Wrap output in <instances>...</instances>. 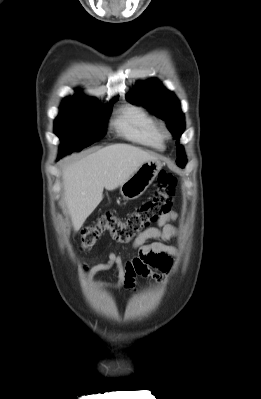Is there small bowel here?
<instances>
[{"instance_id": "obj_1", "label": "small bowel", "mask_w": 261, "mask_h": 399, "mask_svg": "<svg viewBox=\"0 0 261 399\" xmlns=\"http://www.w3.org/2000/svg\"><path fill=\"white\" fill-rule=\"evenodd\" d=\"M176 218L175 212H169L159 220L157 226L150 227L142 232L133 242L136 254L128 260L124 261L121 255L110 252L105 262L98 263L92 268L83 266V274L87 275L92 281L97 273L115 267L118 271L116 282L97 284L111 288L124 287L129 291L136 289L137 277H149L157 282L165 281V274L171 272L174 257L178 255L175 246L165 243V241L178 236V229L172 224ZM150 240L154 241L148 243Z\"/></svg>"}]
</instances>
